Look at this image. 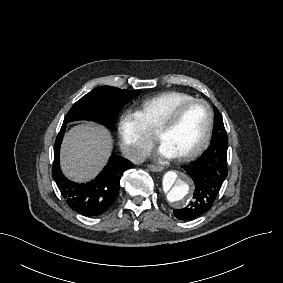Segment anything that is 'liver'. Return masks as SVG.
I'll return each instance as SVG.
<instances>
[{
  "mask_svg": "<svg viewBox=\"0 0 283 283\" xmlns=\"http://www.w3.org/2000/svg\"><path fill=\"white\" fill-rule=\"evenodd\" d=\"M112 149L111 133L104 126L93 122L76 125L63 139L61 169L70 180L90 181L107 164Z\"/></svg>",
  "mask_w": 283,
  "mask_h": 283,
  "instance_id": "obj_1",
  "label": "liver"
}]
</instances>
